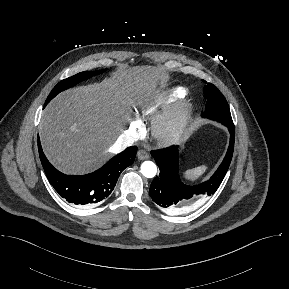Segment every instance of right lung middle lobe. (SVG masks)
<instances>
[{
  "instance_id": "obj_1",
  "label": "right lung middle lobe",
  "mask_w": 289,
  "mask_h": 289,
  "mask_svg": "<svg viewBox=\"0 0 289 289\" xmlns=\"http://www.w3.org/2000/svg\"><path fill=\"white\" fill-rule=\"evenodd\" d=\"M105 70H99L96 72H91V71H85V72H80L72 77H69L67 79H64L62 81H60L51 91V93L49 94V96L47 97V100L45 102V106L49 103V101H51V99H53L58 93H60L63 90H66L74 85H76L77 83H79L80 81L86 80L88 78L93 77L94 75H98L103 73Z\"/></svg>"
}]
</instances>
